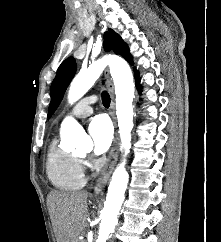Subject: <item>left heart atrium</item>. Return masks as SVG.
Returning a JSON list of instances; mask_svg holds the SVG:
<instances>
[{"mask_svg": "<svg viewBox=\"0 0 221 242\" xmlns=\"http://www.w3.org/2000/svg\"><path fill=\"white\" fill-rule=\"evenodd\" d=\"M88 132L95 154H103L109 149L113 139V128L107 117L99 115L93 118L89 123Z\"/></svg>", "mask_w": 221, "mask_h": 242, "instance_id": "1", "label": "left heart atrium"}]
</instances>
